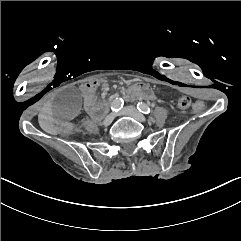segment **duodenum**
<instances>
[{
	"mask_svg": "<svg viewBox=\"0 0 241 241\" xmlns=\"http://www.w3.org/2000/svg\"><path fill=\"white\" fill-rule=\"evenodd\" d=\"M105 110V106L104 105H101L99 106L98 108H96V110L94 111L93 113V117L95 118H99L102 116L103 112Z\"/></svg>",
	"mask_w": 241,
	"mask_h": 241,
	"instance_id": "duodenum-1",
	"label": "duodenum"
}]
</instances>
